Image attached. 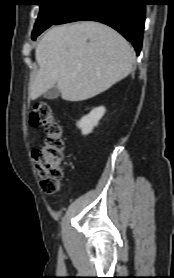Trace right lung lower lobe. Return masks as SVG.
I'll list each match as a JSON object with an SVG mask.
<instances>
[{
  "mask_svg": "<svg viewBox=\"0 0 174 278\" xmlns=\"http://www.w3.org/2000/svg\"><path fill=\"white\" fill-rule=\"evenodd\" d=\"M145 5L144 0H74L54 24L79 20L99 21L120 32L139 54Z\"/></svg>",
  "mask_w": 174,
  "mask_h": 278,
  "instance_id": "98d812e1",
  "label": "right lung lower lobe"
}]
</instances>
